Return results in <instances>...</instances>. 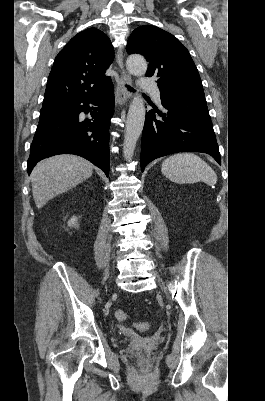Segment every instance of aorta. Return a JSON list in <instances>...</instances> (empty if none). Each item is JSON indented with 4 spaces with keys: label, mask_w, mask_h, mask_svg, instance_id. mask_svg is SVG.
<instances>
[{
    "label": "aorta",
    "mask_w": 265,
    "mask_h": 401,
    "mask_svg": "<svg viewBox=\"0 0 265 401\" xmlns=\"http://www.w3.org/2000/svg\"><path fill=\"white\" fill-rule=\"evenodd\" d=\"M126 68L135 74L143 76L147 70V62L140 54H130L126 60ZM145 120V106L141 94H135L128 110L124 142L123 156L126 160H132L136 142L143 130Z\"/></svg>",
    "instance_id": "1"
}]
</instances>
